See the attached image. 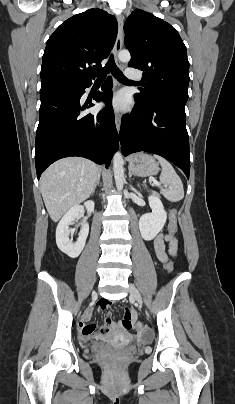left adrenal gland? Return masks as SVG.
<instances>
[{"mask_svg": "<svg viewBox=\"0 0 235 404\" xmlns=\"http://www.w3.org/2000/svg\"><path fill=\"white\" fill-rule=\"evenodd\" d=\"M132 177V172L129 171V179Z\"/></svg>", "mask_w": 235, "mask_h": 404, "instance_id": "obj_1", "label": "left adrenal gland"}]
</instances>
